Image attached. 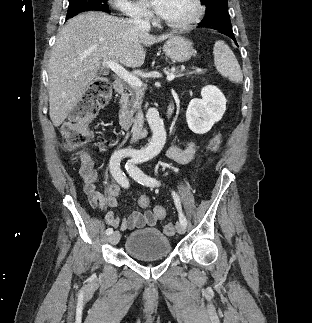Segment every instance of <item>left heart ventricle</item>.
I'll list each match as a JSON object with an SVG mask.
<instances>
[{
	"mask_svg": "<svg viewBox=\"0 0 312 323\" xmlns=\"http://www.w3.org/2000/svg\"><path fill=\"white\" fill-rule=\"evenodd\" d=\"M196 13V2L192 0H167L166 18H185V14Z\"/></svg>",
	"mask_w": 312,
	"mask_h": 323,
	"instance_id": "b2bd125f",
	"label": "left heart ventricle"
}]
</instances>
